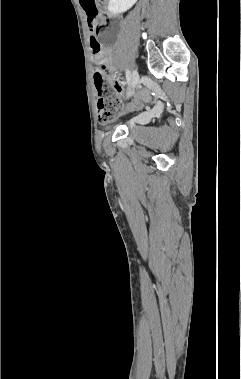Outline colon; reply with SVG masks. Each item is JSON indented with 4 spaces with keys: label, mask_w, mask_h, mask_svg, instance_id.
<instances>
[{
    "label": "colon",
    "mask_w": 241,
    "mask_h": 379,
    "mask_svg": "<svg viewBox=\"0 0 241 379\" xmlns=\"http://www.w3.org/2000/svg\"><path fill=\"white\" fill-rule=\"evenodd\" d=\"M104 0H80V4L87 16L90 27V43L96 61L94 69V84L97 91V108L99 119L106 123L114 119L122 108L120 97L105 83L106 68L100 62L102 48L98 41V25L96 20L100 17Z\"/></svg>",
    "instance_id": "1"
}]
</instances>
